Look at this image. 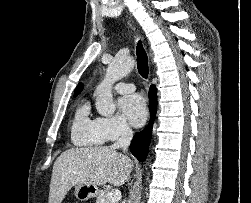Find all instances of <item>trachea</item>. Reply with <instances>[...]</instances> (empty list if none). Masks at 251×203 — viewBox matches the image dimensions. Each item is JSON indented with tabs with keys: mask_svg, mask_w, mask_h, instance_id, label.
<instances>
[{
	"mask_svg": "<svg viewBox=\"0 0 251 203\" xmlns=\"http://www.w3.org/2000/svg\"><path fill=\"white\" fill-rule=\"evenodd\" d=\"M136 55L138 72L144 79H147L149 74L148 57L141 41L137 43Z\"/></svg>",
	"mask_w": 251,
	"mask_h": 203,
	"instance_id": "trachea-1",
	"label": "trachea"
}]
</instances>
